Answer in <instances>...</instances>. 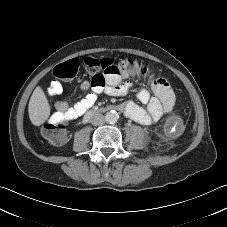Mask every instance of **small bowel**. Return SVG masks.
<instances>
[{
    "instance_id": "obj_1",
    "label": "small bowel",
    "mask_w": 227,
    "mask_h": 227,
    "mask_svg": "<svg viewBox=\"0 0 227 227\" xmlns=\"http://www.w3.org/2000/svg\"><path fill=\"white\" fill-rule=\"evenodd\" d=\"M138 73L148 75L146 69L137 68L136 70L125 72L122 75L112 76L106 74L105 82L102 85H94L93 81L83 80L80 83V88L82 90H91V92L73 106H70L61 98L62 88H55L52 85L47 93L48 98L52 100L54 106L51 121L59 119V116L62 114L67 115L68 121L78 119L96 103L98 96L102 92H106L112 96H122L135 91L137 99L144 107L132 100H128L121 105V109L132 120L142 124L155 123L161 116L174 109V91L166 79L152 78L151 88L154 95H151L150 91L146 88L137 87L132 81L128 80V78Z\"/></svg>"
}]
</instances>
